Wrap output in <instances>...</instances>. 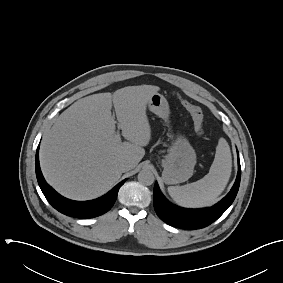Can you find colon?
<instances>
[{
  "label": "colon",
  "mask_w": 283,
  "mask_h": 283,
  "mask_svg": "<svg viewBox=\"0 0 283 283\" xmlns=\"http://www.w3.org/2000/svg\"><path fill=\"white\" fill-rule=\"evenodd\" d=\"M181 103L193 120L194 128L198 134L203 133L204 114L200 107L192 104L186 99H181Z\"/></svg>",
  "instance_id": "1"
}]
</instances>
